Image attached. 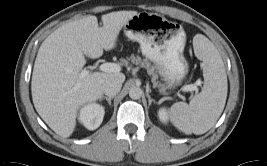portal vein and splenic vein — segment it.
I'll use <instances>...</instances> for the list:
<instances>
[{
  "mask_svg": "<svg viewBox=\"0 0 267 166\" xmlns=\"http://www.w3.org/2000/svg\"><path fill=\"white\" fill-rule=\"evenodd\" d=\"M99 70L107 73H117L121 71V66L117 63H103L99 66ZM89 74L88 70H83L80 73V78H84ZM182 91L188 92V91H195L196 93L198 92V87L197 84H190L185 86Z\"/></svg>",
  "mask_w": 267,
  "mask_h": 166,
  "instance_id": "1",
  "label": "portal vein and splenic vein"
}]
</instances>
